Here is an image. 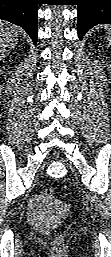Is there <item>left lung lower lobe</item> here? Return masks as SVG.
<instances>
[{"mask_svg": "<svg viewBox=\"0 0 111 257\" xmlns=\"http://www.w3.org/2000/svg\"><path fill=\"white\" fill-rule=\"evenodd\" d=\"M97 24H111V0H78V36Z\"/></svg>", "mask_w": 111, "mask_h": 257, "instance_id": "0a47b994", "label": "left lung lower lobe"}]
</instances>
